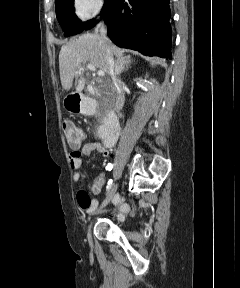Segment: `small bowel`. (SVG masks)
<instances>
[{"instance_id": "obj_1", "label": "small bowel", "mask_w": 240, "mask_h": 288, "mask_svg": "<svg viewBox=\"0 0 240 288\" xmlns=\"http://www.w3.org/2000/svg\"><path fill=\"white\" fill-rule=\"evenodd\" d=\"M73 152L70 153L69 163L73 170L74 182L80 180V169L82 166V156H90L93 151L98 152L101 156L107 157L109 155L108 147L104 146L102 143L90 142L84 144L82 147L80 145L71 147ZM104 183L103 177H98L96 180L97 187L102 186ZM77 200L80 207L87 213H92L98 206L99 202L97 199H91L83 189H79L77 192ZM116 204H119V200L116 199Z\"/></svg>"}]
</instances>
